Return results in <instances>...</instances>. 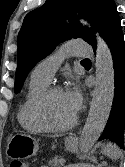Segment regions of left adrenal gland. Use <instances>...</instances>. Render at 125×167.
<instances>
[{"instance_id":"left-adrenal-gland-1","label":"left adrenal gland","mask_w":125,"mask_h":167,"mask_svg":"<svg viewBox=\"0 0 125 167\" xmlns=\"http://www.w3.org/2000/svg\"><path fill=\"white\" fill-rule=\"evenodd\" d=\"M103 166V164H99L97 167H102Z\"/></svg>"}]
</instances>
